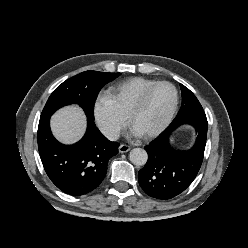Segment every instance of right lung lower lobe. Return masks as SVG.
<instances>
[{"instance_id": "1", "label": "right lung lower lobe", "mask_w": 248, "mask_h": 248, "mask_svg": "<svg viewBox=\"0 0 248 248\" xmlns=\"http://www.w3.org/2000/svg\"><path fill=\"white\" fill-rule=\"evenodd\" d=\"M84 137L74 145L58 142L50 130V118L39 121L38 149L50 180L64 193L81 196L103 181L109 159L118 153L117 142L109 141L88 119Z\"/></svg>"}]
</instances>
